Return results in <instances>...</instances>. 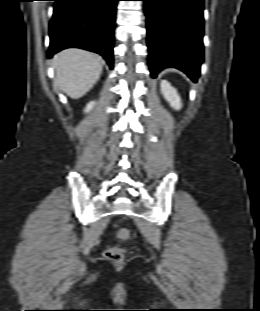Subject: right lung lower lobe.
I'll return each instance as SVG.
<instances>
[{
  "instance_id": "obj_1",
  "label": "right lung lower lobe",
  "mask_w": 260,
  "mask_h": 311,
  "mask_svg": "<svg viewBox=\"0 0 260 311\" xmlns=\"http://www.w3.org/2000/svg\"><path fill=\"white\" fill-rule=\"evenodd\" d=\"M48 57L76 47L102 55L113 69V43L118 0H53Z\"/></svg>"
}]
</instances>
